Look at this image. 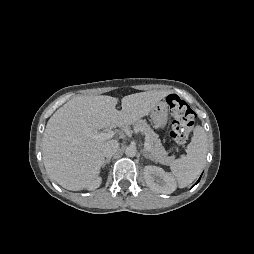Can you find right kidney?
I'll return each mask as SVG.
<instances>
[{
    "label": "right kidney",
    "mask_w": 254,
    "mask_h": 254,
    "mask_svg": "<svg viewBox=\"0 0 254 254\" xmlns=\"http://www.w3.org/2000/svg\"><path fill=\"white\" fill-rule=\"evenodd\" d=\"M101 184V178H97V180L91 185L90 189L97 188Z\"/></svg>",
    "instance_id": "1"
}]
</instances>
